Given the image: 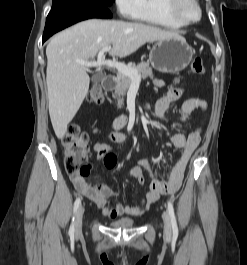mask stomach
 Masks as SVG:
<instances>
[{
  "label": "stomach",
  "instance_id": "1",
  "mask_svg": "<svg viewBox=\"0 0 247 265\" xmlns=\"http://www.w3.org/2000/svg\"><path fill=\"white\" fill-rule=\"evenodd\" d=\"M192 57L191 47L179 36L158 40L150 51L149 61L159 72L177 73L189 65Z\"/></svg>",
  "mask_w": 247,
  "mask_h": 265
}]
</instances>
